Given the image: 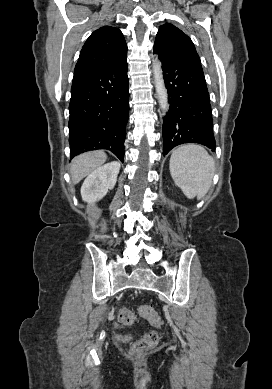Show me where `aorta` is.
Wrapping results in <instances>:
<instances>
[{
	"label": "aorta",
	"instance_id": "aorta-1",
	"mask_svg": "<svg viewBox=\"0 0 272 389\" xmlns=\"http://www.w3.org/2000/svg\"><path fill=\"white\" fill-rule=\"evenodd\" d=\"M153 73L157 99L160 108L164 113H166L169 110L167 90L163 79L161 63L157 59L153 62Z\"/></svg>",
	"mask_w": 272,
	"mask_h": 389
}]
</instances>
